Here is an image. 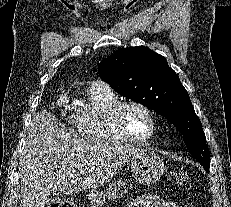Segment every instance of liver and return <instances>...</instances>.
<instances>
[{
	"label": "liver",
	"instance_id": "obj_1",
	"mask_svg": "<svg viewBox=\"0 0 231 207\" xmlns=\"http://www.w3.org/2000/svg\"><path fill=\"white\" fill-rule=\"evenodd\" d=\"M139 150L129 144L80 139L50 112H38L19 162L20 207H46L53 192L71 195L96 189Z\"/></svg>",
	"mask_w": 231,
	"mask_h": 207
}]
</instances>
